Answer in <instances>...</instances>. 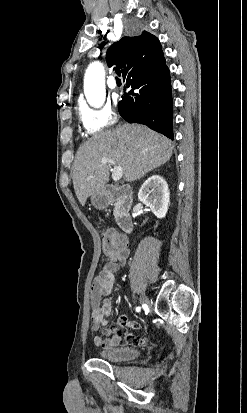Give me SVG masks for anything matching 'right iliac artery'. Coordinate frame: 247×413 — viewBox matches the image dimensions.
I'll use <instances>...</instances> for the list:
<instances>
[{"instance_id": "right-iliac-artery-1", "label": "right iliac artery", "mask_w": 247, "mask_h": 413, "mask_svg": "<svg viewBox=\"0 0 247 413\" xmlns=\"http://www.w3.org/2000/svg\"><path fill=\"white\" fill-rule=\"evenodd\" d=\"M136 311L139 312V311H140V307H137V308H136Z\"/></svg>"}]
</instances>
